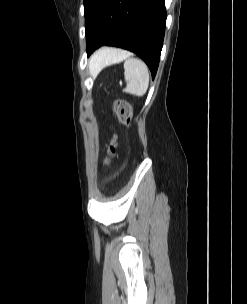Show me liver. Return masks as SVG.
Returning a JSON list of instances; mask_svg holds the SVG:
<instances>
[{
    "label": "liver",
    "mask_w": 247,
    "mask_h": 304,
    "mask_svg": "<svg viewBox=\"0 0 247 304\" xmlns=\"http://www.w3.org/2000/svg\"><path fill=\"white\" fill-rule=\"evenodd\" d=\"M120 52H125L117 49L104 48L100 50L90 62L91 72H96L102 68L107 58L113 54H118ZM126 53V52H125Z\"/></svg>",
    "instance_id": "liver-1"
}]
</instances>
